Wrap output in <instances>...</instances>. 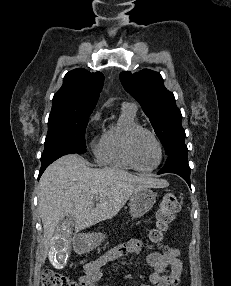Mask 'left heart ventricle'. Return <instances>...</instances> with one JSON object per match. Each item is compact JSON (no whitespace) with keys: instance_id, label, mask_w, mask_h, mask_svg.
<instances>
[{"instance_id":"b2bd125f","label":"left heart ventricle","mask_w":231,"mask_h":286,"mask_svg":"<svg viewBox=\"0 0 231 286\" xmlns=\"http://www.w3.org/2000/svg\"><path fill=\"white\" fill-rule=\"evenodd\" d=\"M133 154L137 165L143 169H150L155 166L159 158L156 143L146 133H141L135 138Z\"/></svg>"}]
</instances>
